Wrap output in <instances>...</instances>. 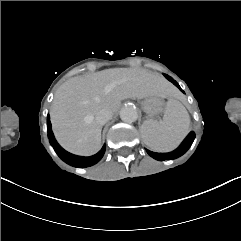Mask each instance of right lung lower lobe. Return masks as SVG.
Here are the masks:
<instances>
[{"label": "right lung lower lobe", "mask_w": 241, "mask_h": 241, "mask_svg": "<svg viewBox=\"0 0 241 241\" xmlns=\"http://www.w3.org/2000/svg\"><path fill=\"white\" fill-rule=\"evenodd\" d=\"M47 127H48V137L51 145L54 147L59 157L71 166L78 167V168L92 166L97 162H99L105 153V146H103L102 149L97 154L90 157H83V156H77V155L71 154L65 151L55 140V137L51 130V122L49 120L47 121Z\"/></svg>", "instance_id": "right-lung-lower-lobe-1"}]
</instances>
